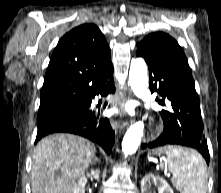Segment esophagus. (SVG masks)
Instances as JSON below:
<instances>
[{
	"label": "esophagus",
	"instance_id": "esophagus-1",
	"mask_svg": "<svg viewBox=\"0 0 221 193\" xmlns=\"http://www.w3.org/2000/svg\"><path fill=\"white\" fill-rule=\"evenodd\" d=\"M132 97V93H129L128 94V98ZM128 98L127 97H120L118 98V103L120 104L119 105V108H122V105L121 104H129V101H128ZM132 103V102H130ZM124 108H131V105H124ZM132 119L130 120L131 123H124V122H118V120H116V118L113 120V126H114V131H117V127H126V126H132ZM119 131H125V128H119Z\"/></svg>",
	"mask_w": 221,
	"mask_h": 193
}]
</instances>
